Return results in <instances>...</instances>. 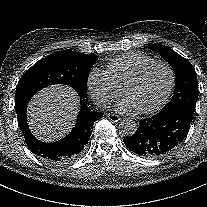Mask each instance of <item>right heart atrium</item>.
I'll use <instances>...</instances> for the list:
<instances>
[{"instance_id": "obj_1", "label": "right heart atrium", "mask_w": 207, "mask_h": 207, "mask_svg": "<svg viewBox=\"0 0 207 207\" xmlns=\"http://www.w3.org/2000/svg\"><path fill=\"white\" fill-rule=\"evenodd\" d=\"M86 86L91 98L99 106L108 107L119 97V90L113 86L106 72L93 68L86 80Z\"/></svg>"}]
</instances>
